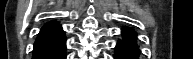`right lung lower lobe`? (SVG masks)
Wrapping results in <instances>:
<instances>
[{
	"label": "right lung lower lobe",
	"mask_w": 193,
	"mask_h": 59,
	"mask_svg": "<svg viewBox=\"0 0 193 59\" xmlns=\"http://www.w3.org/2000/svg\"><path fill=\"white\" fill-rule=\"evenodd\" d=\"M66 39L64 33L37 40L32 59H65Z\"/></svg>",
	"instance_id": "1"
}]
</instances>
